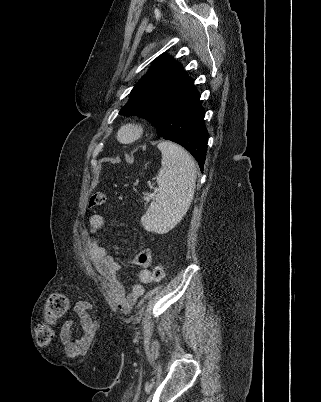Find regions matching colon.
Masks as SVG:
<instances>
[{
	"label": "colon",
	"mask_w": 321,
	"mask_h": 402,
	"mask_svg": "<svg viewBox=\"0 0 321 402\" xmlns=\"http://www.w3.org/2000/svg\"><path fill=\"white\" fill-rule=\"evenodd\" d=\"M105 195L101 192L93 193L89 197V208L101 206L105 202ZM165 278V266L156 264L152 269V279L155 282H161ZM70 308V299L64 293L51 294L46 302L44 319L36 325V340L41 345L49 344L53 339L52 324L56 319L61 318Z\"/></svg>",
	"instance_id": "obj_1"
}]
</instances>
